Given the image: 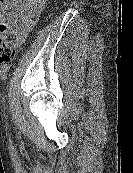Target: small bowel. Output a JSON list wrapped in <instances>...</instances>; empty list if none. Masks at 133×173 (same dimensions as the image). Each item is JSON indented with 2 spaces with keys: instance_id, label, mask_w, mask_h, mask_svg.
<instances>
[{
  "instance_id": "obj_1",
  "label": "small bowel",
  "mask_w": 133,
  "mask_h": 173,
  "mask_svg": "<svg viewBox=\"0 0 133 173\" xmlns=\"http://www.w3.org/2000/svg\"><path fill=\"white\" fill-rule=\"evenodd\" d=\"M45 0H0V23L10 20L9 31L23 43L36 24Z\"/></svg>"
}]
</instances>
